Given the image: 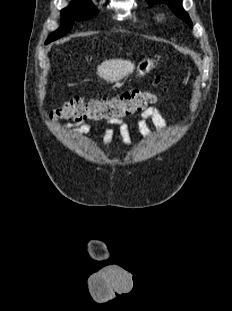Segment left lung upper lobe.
<instances>
[{"label":"left lung upper lobe","instance_id":"5c2ea615","mask_svg":"<svg viewBox=\"0 0 232 311\" xmlns=\"http://www.w3.org/2000/svg\"><path fill=\"white\" fill-rule=\"evenodd\" d=\"M147 1L149 2V4H157V3L167 4L179 18L184 20L192 28L191 19L182 7V0H147Z\"/></svg>","mask_w":232,"mask_h":311}]
</instances>
